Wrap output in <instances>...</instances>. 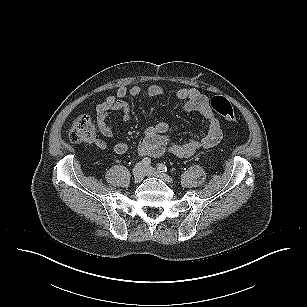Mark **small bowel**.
I'll use <instances>...</instances> for the list:
<instances>
[{"label":"small bowel","mask_w":307,"mask_h":307,"mask_svg":"<svg viewBox=\"0 0 307 307\" xmlns=\"http://www.w3.org/2000/svg\"><path fill=\"white\" fill-rule=\"evenodd\" d=\"M143 92L144 88L141 85H134L130 88L120 86L115 95L108 96L96 106V120L99 131L103 136L110 138L114 134L112 127L108 124V119L113 114H117L123 121L130 119V107L124 99L128 95L138 96ZM146 93L151 97L160 96L163 93V89L160 86L153 85L147 88ZM176 97L184 101L186 111L197 112L205 118V130L187 142L170 144L166 134V125L163 122L155 123L146 129L137 146V151L141 156L159 157L169 151L175 156L189 158L197 150L212 148L221 141L222 130L220 122L210 107L209 99L205 94L195 88H180L176 91ZM94 144L99 149L107 147V143L103 139H97ZM127 150L128 144L124 141H119L114 145V151L117 154H124Z\"/></svg>","instance_id":"1"}]
</instances>
